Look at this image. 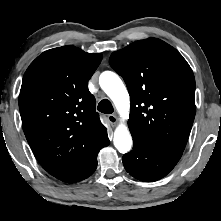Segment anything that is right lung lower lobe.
Segmentation results:
<instances>
[{"label":"right lung lower lobe","mask_w":221,"mask_h":221,"mask_svg":"<svg viewBox=\"0 0 221 221\" xmlns=\"http://www.w3.org/2000/svg\"><path fill=\"white\" fill-rule=\"evenodd\" d=\"M109 143L108 136H106L76 169L60 178V180L67 183H75L92 175L97 167V154L103 147L108 146Z\"/></svg>","instance_id":"obj_1"}]
</instances>
